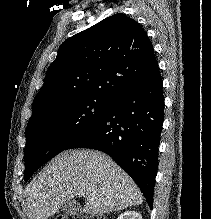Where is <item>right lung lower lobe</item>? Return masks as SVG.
<instances>
[{"label":"right lung lower lobe","instance_id":"98d812e1","mask_svg":"<svg viewBox=\"0 0 211 219\" xmlns=\"http://www.w3.org/2000/svg\"><path fill=\"white\" fill-rule=\"evenodd\" d=\"M162 85L157 66L145 81L114 98L100 120L67 147L110 155L136 182L151 209L164 121Z\"/></svg>","mask_w":211,"mask_h":219}]
</instances>
